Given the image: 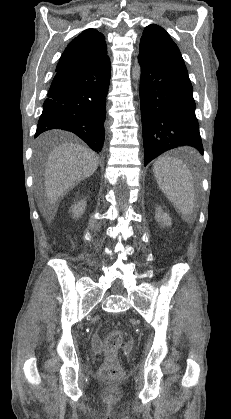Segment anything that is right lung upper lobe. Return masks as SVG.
<instances>
[{"label": "right lung upper lobe", "mask_w": 231, "mask_h": 419, "mask_svg": "<svg viewBox=\"0 0 231 419\" xmlns=\"http://www.w3.org/2000/svg\"><path fill=\"white\" fill-rule=\"evenodd\" d=\"M109 61L104 35L87 29L74 38L63 52L56 71L94 67Z\"/></svg>", "instance_id": "obj_1"}]
</instances>
